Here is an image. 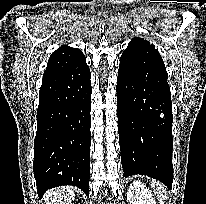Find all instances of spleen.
<instances>
[{
    "mask_svg": "<svg viewBox=\"0 0 206 204\" xmlns=\"http://www.w3.org/2000/svg\"><path fill=\"white\" fill-rule=\"evenodd\" d=\"M152 187L154 190V194L159 198L160 204H164V200L166 199V187L161 184L159 181H153Z\"/></svg>",
    "mask_w": 206,
    "mask_h": 204,
    "instance_id": "obj_1",
    "label": "spleen"
}]
</instances>
